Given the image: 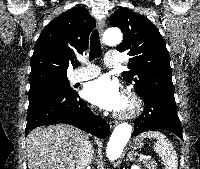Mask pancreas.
Returning a JSON list of instances; mask_svg holds the SVG:
<instances>
[{"label":"pancreas","mask_w":200,"mask_h":169,"mask_svg":"<svg viewBox=\"0 0 200 169\" xmlns=\"http://www.w3.org/2000/svg\"><path fill=\"white\" fill-rule=\"evenodd\" d=\"M142 162L148 169H157V163L154 160H142Z\"/></svg>","instance_id":"obj_1"}]
</instances>
